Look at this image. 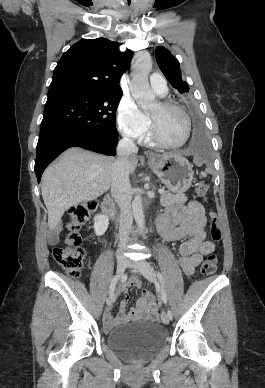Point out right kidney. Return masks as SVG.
Instances as JSON below:
<instances>
[{"label": "right kidney", "instance_id": "right-kidney-1", "mask_svg": "<svg viewBox=\"0 0 265 388\" xmlns=\"http://www.w3.org/2000/svg\"><path fill=\"white\" fill-rule=\"evenodd\" d=\"M109 220L108 216H95L94 218V232L96 236H103L108 228Z\"/></svg>", "mask_w": 265, "mask_h": 388}]
</instances>
